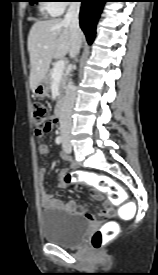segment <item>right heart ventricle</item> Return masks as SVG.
<instances>
[{
  "instance_id": "obj_1",
  "label": "right heart ventricle",
  "mask_w": 158,
  "mask_h": 275,
  "mask_svg": "<svg viewBox=\"0 0 158 275\" xmlns=\"http://www.w3.org/2000/svg\"><path fill=\"white\" fill-rule=\"evenodd\" d=\"M49 7H50V4L47 3V4L45 5V9H47V10H48L51 14H53V15H58V14H56V13L51 12L50 9H49Z\"/></svg>"
}]
</instances>
